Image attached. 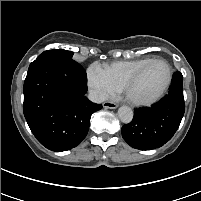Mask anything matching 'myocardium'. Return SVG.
Masks as SVG:
<instances>
[{
  "mask_svg": "<svg viewBox=\"0 0 201 201\" xmlns=\"http://www.w3.org/2000/svg\"><path fill=\"white\" fill-rule=\"evenodd\" d=\"M155 62H163L166 64L168 68V77L165 85L162 87V89L155 94L153 97L149 99H137L131 96L130 89L135 84V82L139 79V77L142 75V73L153 63ZM173 79V68L171 64L164 58H153L147 63H145L143 66H141L136 72H134L124 83L122 87L123 94L126 98V100L135 106H149L157 102L159 99L163 97V95L168 91Z\"/></svg>",
  "mask_w": 201,
  "mask_h": 201,
  "instance_id": "myocardium-1",
  "label": "myocardium"
}]
</instances>
